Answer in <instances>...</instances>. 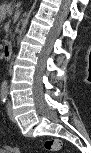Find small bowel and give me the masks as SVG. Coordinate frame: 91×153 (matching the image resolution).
I'll list each match as a JSON object with an SVG mask.
<instances>
[{"mask_svg": "<svg viewBox=\"0 0 91 153\" xmlns=\"http://www.w3.org/2000/svg\"><path fill=\"white\" fill-rule=\"evenodd\" d=\"M1 151L4 153H16L17 152V148H13L11 146H3L1 148Z\"/></svg>", "mask_w": 91, "mask_h": 153, "instance_id": "c3829d8e", "label": "small bowel"}]
</instances>
